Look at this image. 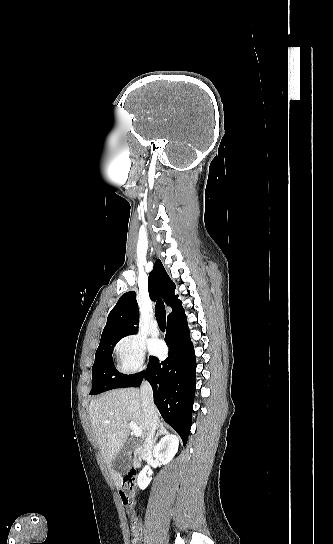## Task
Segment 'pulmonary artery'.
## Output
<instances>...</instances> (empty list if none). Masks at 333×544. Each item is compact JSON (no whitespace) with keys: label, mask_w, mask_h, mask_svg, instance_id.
<instances>
[{"label":"pulmonary artery","mask_w":333,"mask_h":544,"mask_svg":"<svg viewBox=\"0 0 333 544\" xmlns=\"http://www.w3.org/2000/svg\"><path fill=\"white\" fill-rule=\"evenodd\" d=\"M159 326L157 324V321L153 320L150 324V334L153 337H157L159 335Z\"/></svg>","instance_id":"e3ab8cb5"}]
</instances>
